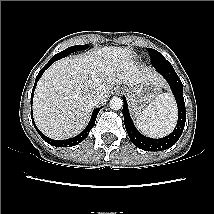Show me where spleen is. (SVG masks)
Masks as SVG:
<instances>
[{
	"label": "spleen",
	"mask_w": 214,
	"mask_h": 214,
	"mask_svg": "<svg viewBox=\"0 0 214 214\" xmlns=\"http://www.w3.org/2000/svg\"><path fill=\"white\" fill-rule=\"evenodd\" d=\"M177 119L176 105L170 93L158 95L136 118L137 128L151 137L165 136Z\"/></svg>",
	"instance_id": "spleen-1"
}]
</instances>
